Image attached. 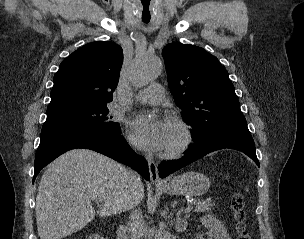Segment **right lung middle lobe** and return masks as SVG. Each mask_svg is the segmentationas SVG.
I'll return each mask as SVG.
<instances>
[{
    "label": "right lung middle lobe",
    "instance_id": "dd1d6c3e",
    "mask_svg": "<svg viewBox=\"0 0 304 239\" xmlns=\"http://www.w3.org/2000/svg\"><path fill=\"white\" fill-rule=\"evenodd\" d=\"M106 105L72 110L47 116L42 132L86 130L111 135L121 133L119 123L113 122L108 116Z\"/></svg>",
    "mask_w": 304,
    "mask_h": 239
}]
</instances>
